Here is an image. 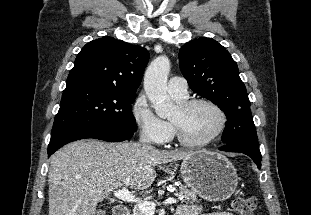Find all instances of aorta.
<instances>
[{"mask_svg": "<svg viewBox=\"0 0 311 215\" xmlns=\"http://www.w3.org/2000/svg\"><path fill=\"white\" fill-rule=\"evenodd\" d=\"M170 60L159 56L148 66L144 75V90L158 117H168L174 104L167 94V78Z\"/></svg>", "mask_w": 311, "mask_h": 215, "instance_id": "aorta-1", "label": "aorta"}]
</instances>
